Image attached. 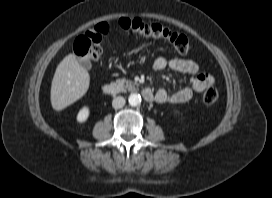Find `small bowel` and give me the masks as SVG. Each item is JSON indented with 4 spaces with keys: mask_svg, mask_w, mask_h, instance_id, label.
Instances as JSON below:
<instances>
[{
    "mask_svg": "<svg viewBox=\"0 0 272 198\" xmlns=\"http://www.w3.org/2000/svg\"><path fill=\"white\" fill-rule=\"evenodd\" d=\"M154 68L156 70L170 69L172 71L191 76L189 86H184L173 93H168L164 89H159L155 94V101L160 104L186 103L192 98L195 92H203L205 89L213 86L215 83L213 76L201 72L197 63L180 56H174L170 59L159 56L154 61Z\"/></svg>",
    "mask_w": 272,
    "mask_h": 198,
    "instance_id": "small-bowel-1",
    "label": "small bowel"
}]
</instances>
